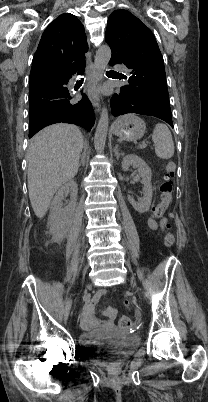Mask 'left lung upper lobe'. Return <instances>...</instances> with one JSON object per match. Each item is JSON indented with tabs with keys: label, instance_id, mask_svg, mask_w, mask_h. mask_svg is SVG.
<instances>
[{
	"label": "left lung upper lobe",
	"instance_id": "1",
	"mask_svg": "<svg viewBox=\"0 0 208 402\" xmlns=\"http://www.w3.org/2000/svg\"><path fill=\"white\" fill-rule=\"evenodd\" d=\"M105 40L131 71L126 86L170 104L163 57L148 27L129 11L116 10L108 18Z\"/></svg>",
	"mask_w": 208,
	"mask_h": 402
}]
</instances>
